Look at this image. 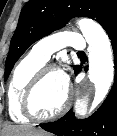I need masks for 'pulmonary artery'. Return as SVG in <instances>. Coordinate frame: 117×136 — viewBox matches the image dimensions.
I'll return each mask as SVG.
<instances>
[{"label":"pulmonary artery","instance_id":"1","mask_svg":"<svg viewBox=\"0 0 117 136\" xmlns=\"http://www.w3.org/2000/svg\"><path fill=\"white\" fill-rule=\"evenodd\" d=\"M68 46L75 50L83 51L86 45L81 34L74 31H64L51 34L39 40L33 45L31 53L43 62H47L54 52Z\"/></svg>","mask_w":117,"mask_h":136}]
</instances>
